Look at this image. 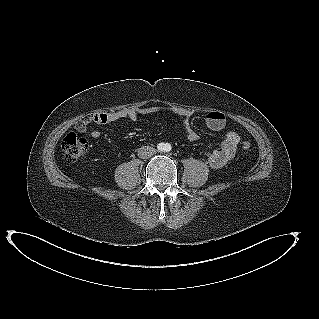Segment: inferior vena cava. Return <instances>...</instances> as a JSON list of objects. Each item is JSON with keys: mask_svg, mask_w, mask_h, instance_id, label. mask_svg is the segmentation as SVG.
I'll use <instances>...</instances> for the list:
<instances>
[{"mask_svg": "<svg viewBox=\"0 0 319 319\" xmlns=\"http://www.w3.org/2000/svg\"><path fill=\"white\" fill-rule=\"evenodd\" d=\"M155 152H156L155 148H153L151 146H142L138 150V156L141 159H148V158L152 157Z\"/></svg>", "mask_w": 319, "mask_h": 319, "instance_id": "obj_1", "label": "inferior vena cava"}]
</instances>
